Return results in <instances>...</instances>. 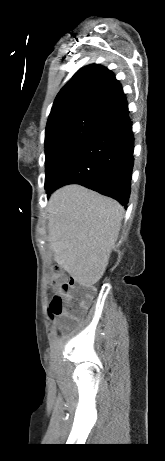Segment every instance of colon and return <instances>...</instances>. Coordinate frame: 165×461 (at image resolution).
<instances>
[{
    "label": "colon",
    "mask_w": 165,
    "mask_h": 461,
    "mask_svg": "<svg viewBox=\"0 0 165 461\" xmlns=\"http://www.w3.org/2000/svg\"><path fill=\"white\" fill-rule=\"evenodd\" d=\"M51 283L56 293L51 300L49 314L58 319L62 328L67 329L83 314L92 299L94 288L76 283L59 266L52 268Z\"/></svg>",
    "instance_id": "colon-1"
}]
</instances>
